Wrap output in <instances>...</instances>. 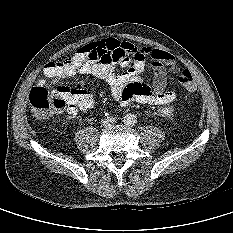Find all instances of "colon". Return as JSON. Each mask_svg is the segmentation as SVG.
<instances>
[{"label": "colon", "mask_w": 233, "mask_h": 233, "mask_svg": "<svg viewBox=\"0 0 233 233\" xmlns=\"http://www.w3.org/2000/svg\"><path fill=\"white\" fill-rule=\"evenodd\" d=\"M72 58H67L62 63H69ZM179 83L188 92L196 90V84L191 72L183 70L178 78ZM29 103L34 114L39 118H48L59 113L66 107L65 99L59 94L51 93L46 87H34L29 94Z\"/></svg>", "instance_id": "colon-1"}]
</instances>
